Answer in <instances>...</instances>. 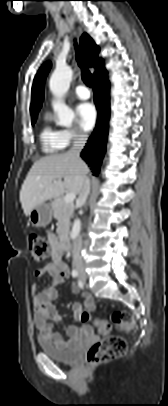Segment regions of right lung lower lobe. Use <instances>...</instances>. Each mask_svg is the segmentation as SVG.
<instances>
[{
    "label": "right lung lower lobe",
    "mask_w": 168,
    "mask_h": 406,
    "mask_svg": "<svg viewBox=\"0 0 168 406\" xmlns=\"http://www.w3.org/2000/svg\"><path fill=\"white\" fill-rule=\"evenodd\" d=\"M110 83L107 73L94 80V102L98 110L96 127L90 136L81 157L91 166L94 175H98L106 150L108 121L110 117Z\"/></svg>",
    "instance_id": "right-lung-lower-lobe-1"
}]
</instances>
